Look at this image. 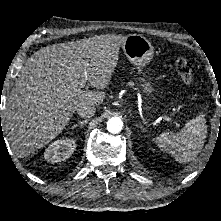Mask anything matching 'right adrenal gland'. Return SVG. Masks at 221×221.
<instances>
[{
    "label": "right adrenal gland",
    "mask_w": 221,
    "mask_h": 221,
    "mask_svg": "<svg viewBox=\"0 0 221 221\" xmlns=\"http://www.w3.org/2000/svg\"><path fill=\"white\" fill-rule=\"evenodd\" d=\"M87 122H88L87 119H86V120H83V121H79L78 123H76V124H74V125L72 126V129H74V128L78 127V126H80V128H83V126H84Z\"/></svg>",
    "instance_id": "obj_1"
}]
</instances>
